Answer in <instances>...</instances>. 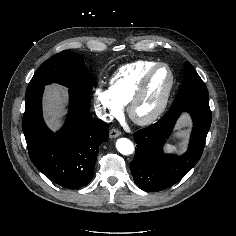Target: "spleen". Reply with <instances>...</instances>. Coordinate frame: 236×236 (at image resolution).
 Returning <instances> with one entry per match:
<instances>
[{"instance_id": "3e777b00", "label": "spleen", "mask_w": 236, "mask_h": 236, "mask_svg": "<svg viewBox=\"0 0 236 236\" xmlns=\"http://www.w3.org/2000/svg\"><path fill=\"white\" fill-rule=\"evenodd\" d=\"M165 148H166V150H167L168 152H174V151L176 150V147H175V146L169 145V144H167V145L165 146Z\"/></svg>"}]
</instances>
